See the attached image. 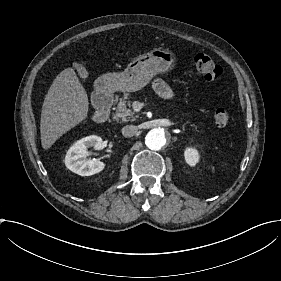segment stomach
<instances>
[{
  "instance_id": "obj_1",
  "label": "stomach",
  "mask_w": 281,
  "mask_h": 281,
  "mask_svg": "<svg viewBox=\"0 0 281 281\" xmlns=\"http://www.w3.org/2000/svg\"><path fill=\"white\" fill-rule=\"evenodd\" d=\"M174 54L168 49L157 48L136 57L127 68L120 73L102 75L101 88L110 92H135L145 87L151 79L172 69Z\"/></svg>"
}]
</instances>
